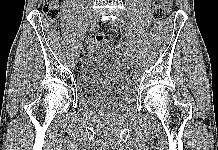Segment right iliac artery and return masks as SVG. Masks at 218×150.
<instances>
[{
    "label": "right iliac artery",
    "mask_w": 218,
    "mask_h": 150,
    "mask_svg": "<svg viewBox=\"0 0 218 150\" xmlns=\"http://www.w3.org/2000/svg\"><path fill=\"white\" fill-rule=\"evenodd\" d=\"M93 31H94V29H92V28H89V29H88V33H87V34L89 35V38H90V39H93V38H94V32H93ZM82 42H83V41H82ZM86 42H88V41L86 40ZM82 46H83V43H82Z\"/></svg>",
    "instance_id": "obj_1"
}]
</instances>
